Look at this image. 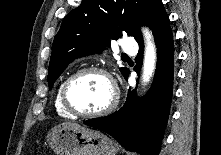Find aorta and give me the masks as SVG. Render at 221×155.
I'll use <instances>...</instances> for the list:
<instances>
[{
  "label": "aorta",
  "mask_w": 221,
  "mask_h": 155,
  "mask_svg": "<svg viewBox=\"0 0 221 155\" xmlns=\"http://www.w3.org/2000/svg\"><path fill=\"white\" fill-rule=\"evenodd\" d=\"M146 40V49L144 55L143 82H149L156 66V48L151 33L147 29H143Z\"/></svg>",
  "instance_id": "762f6f07"
}]
</instances>
